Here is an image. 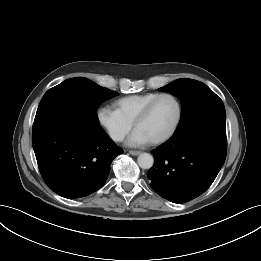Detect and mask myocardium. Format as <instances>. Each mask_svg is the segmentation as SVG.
I'll list each match as a JSON object with an SVG mask.
<instances>
[{
    "label": "myocardium",
    "instance_id": "f54148a6",
    "mask_svg": "<svg viewBox=\"0 0 261 261\" xmlns=\"http://www.w3.org/2000/svg\"><path fill=\"white\" fill-rule=\"evenodd\" d=\"M162 98H170L175 102V104L177 106V115H176V118H175V121H174L172 127L166 134H164L163 136H161L157 139L150 141V143L153 145H160V144L167 142L176 133V131L180 125L181 119H182V105H181V102L179 101V99L171 93H159L140 111V113L137 115V117L135 118V120L133 122V127L136 128L139 123H141L143 120H145L148 117V115L152 111L154 105Z\"/></svg>",
    "mask_w": 261,
    "mask_h": 261
}]
</instances>
